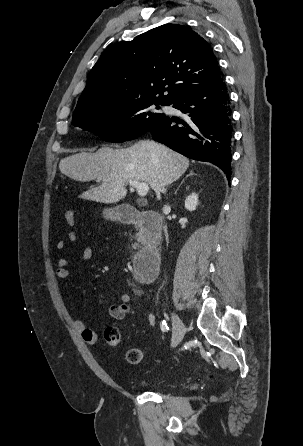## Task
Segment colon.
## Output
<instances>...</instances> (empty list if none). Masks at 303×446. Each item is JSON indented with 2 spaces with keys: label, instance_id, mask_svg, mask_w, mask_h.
<instances>
[{
  "label": "colon",
  "instance_id": "1",
  "mask_svg": "<svg viewBox=\"0 0 303 446\" xmlns=\"http://www.w3.org/2000/svg\"><path fill=\"white\" fill-rule=\"evenodd\" d=\"M65 218L69 226L75 225V215L72 210H67ZM104 339L110 347H117L121 341V334L117 327L108 326L104 331ZM126 359L131 364H139L143 359V352L139 348H130L126 353Z\"/></svg>",
  "mask_w": 303,
  "mask_h": 446
}]
</instances>
